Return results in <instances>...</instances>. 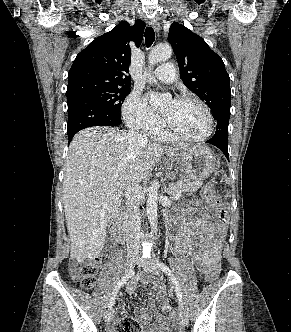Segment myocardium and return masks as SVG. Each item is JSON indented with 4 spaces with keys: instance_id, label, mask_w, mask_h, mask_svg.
<instances>
[{
    "instance_id": "obj_1",
    "label": "myocardium",
    "mask_w": 291,
    "mask_h": 332,
    "mask_svg": "<svg viewBox=\"0 0 291 332\" xmlns=\"http://www.w3.org/2000/svg\"><path fill=\"white\" fill-rule=\"evenodd\" d=\"M175 100L179 102H194L197 105H199L207 117L208 127L206 132L201 136L197 137L187 136L175 130L172 127V125L167 121V119L164 117L163 125L165 132L174 139L188 141V142H202L208 139L212 135L215 127L214 117L208 105L204 103L201 99L189 95L178 96Z\"/></svg>"
}]
</instances>
